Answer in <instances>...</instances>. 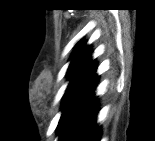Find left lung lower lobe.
I'll use <instances>...</instances> for the list:
<instances>
[{
    "label": "left lung lower lobe",
    "instance_id": "obj_1",
    "mask_svg": "<svg viewBox=\"0 0 155 141\" xmlns=\"http://www.w3.org/2000/svg\"><path fill=\"white\" fill-rule=\"evenodd\" d=\"M98 80L99 77L95 75L70 106L60 131L61 141H99L101 130L96 126L99 106L95 97Z\"/></svg>",
    "mask_w": 155,
    "mask_h": 141
}]
</instances>
